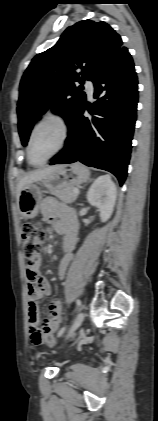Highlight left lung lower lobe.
Segmentation results:
<instances>
[{"label": "left lung lower lobe", "instance_id": "obj_1", "mask_svg": "<svg viewBox=\"0 0 158 421\" xmlns=\"http://www.w3.org/2000/svg\"><path fill=\"white\" fill-rule=\"evenodd\" d=\"M92 108L85 103L71 125L64 149L51 162L80 161L113 173L122 185L127 176L138 102L137 76L128 49L122 46L94 79ZM85 109L94 114L83 116Z\"/></svg>", "mask_w": 158, "mask_h": 421}]
</instances>
